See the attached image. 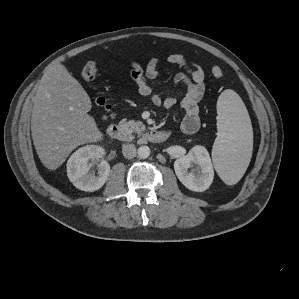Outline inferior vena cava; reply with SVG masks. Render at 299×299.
<instances>
[{
  "label": "inferior vena cava",
  "instance_id": "1",
  "mask_svg": "<svg viewBox=\"0 0 299 299\" xmlns=\"http://www.w3.org/2000/svg\"><path fill=\"white\" fill-rule=\"evenodd\" d=\"M122 153L123 156L127 159L134 158L137 153L135 145L134 144L123 145Z\"/></svg>",
  "mask_w": 299,
  "mask_h": 299
}]
</instances>
